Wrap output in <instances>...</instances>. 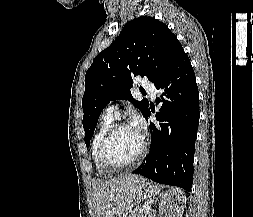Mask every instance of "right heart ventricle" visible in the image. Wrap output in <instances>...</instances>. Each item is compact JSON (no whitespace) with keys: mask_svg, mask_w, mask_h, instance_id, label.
<instances>
[{"mask_svg":"<svg viewBox=\"0 0 253 217\" xmlns=\"http://www.w3.org/2000/svg\"><path fill=\"white\" fill-rule=\"evenodd\" d=\"M114 119L115 118L103 115L102 120L99 125V128H98L97 132L95 133L93 140H92V146H91L92 158H93L95 167L97 169V172L101 175L111 174V172L105 170L99 162L98 147H99V143H100L101 138L103 137L105 132L108 130V128L113 124Z\"/></svg>","mask_w":253,"mask_h":217,"instance_id":"e07e8e85","label":"right heart ventricle"}]
</instances>
